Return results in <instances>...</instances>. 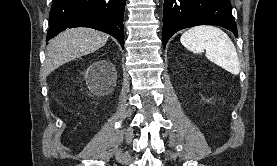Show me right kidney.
Wrapping results in <instances>:
<instances>
[{"label": "right kidney", "mask_w": 277, "mask_h": 166, "mask_svg": "<svg viewBox=\"0 0 277 166\" xmlns=\"http://www.w3.org/2000/svg\"><path fill=\"white\" fill-rule=\"evenodd\" d=\"M107 63L106 62H97L96 64H95V68H102L104 65H106Z\"/></svg>", "instance_id": "ca27d5eb"}]
</instances>
